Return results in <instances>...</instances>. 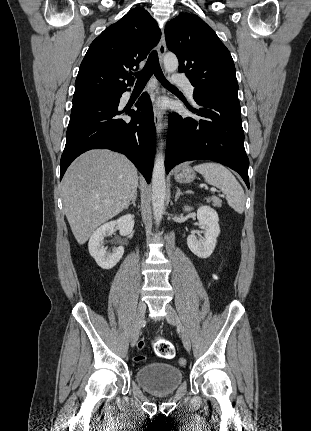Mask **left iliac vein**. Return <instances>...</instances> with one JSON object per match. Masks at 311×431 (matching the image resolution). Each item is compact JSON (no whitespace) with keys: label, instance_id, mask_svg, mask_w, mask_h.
<instances>
[{"label":"left iliac vein","instance_id":"obj_1","mask_svg":"<svg viewBox=\"0 0 311 431\" xmlns=\"http://www.w3.org/2000/svg\"><path fill=\"white\" fill-rule=\"evenodd\" d=\"M166 320L169 324L176 326L180 329L183 345L187 351H190L191 341H190L189 334L186 331V329L182 326L175 309L169 304L166 305Z\"/></svg>","mask_w":311,"mask_h":431}]
</instances>
